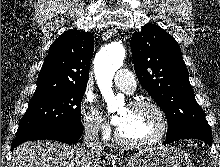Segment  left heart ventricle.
Listing matches in <instances>:
<instances>
[{
	"label": "left heart ventricle",
	"instance_id": "1",
	"mask_svg": "<svg viewBox=\"0 0 220 167\" xmlns=\"http://www.w3.org/2000/svg\"><path fill=\"white\" fill-rule=\"evenodd\" d=\"M120 114L124 117V120L119 131L128 140H146L153 137L159 130V118L151 109L130 107L121 110Z\"/></svg>",
	"mask_w": 220,
	"mask_h": 167
}]
</instances>
